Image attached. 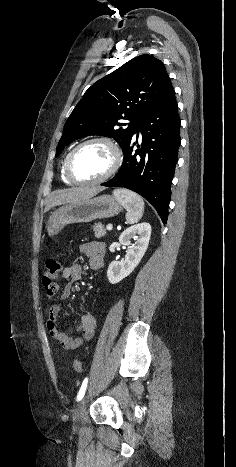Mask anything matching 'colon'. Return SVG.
Returning a JSON list of instances; mask_svg holds the SVG:
<instances>
[{"instance_id": "obj_1", "label": "colon", "mask_w": 236, "mask_h": 467, "mask_svg": "<svg viewBox=\"0 0 236 467\" xmlns=\"http://www.w3.org/2000/svg\"><path fill=\"white\" fill-rule=\"evenodd\" d=\"M61 270V262L57 257H50L45 261L43 269L42 282L47 288L53 286ZM73 369L75 372H82V363L80 360L73 361Z\"/></svg>"}]
</instances>
